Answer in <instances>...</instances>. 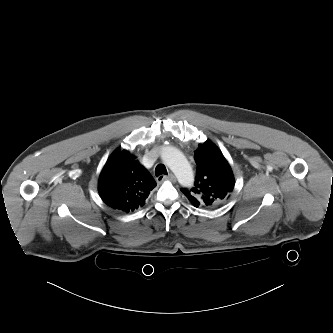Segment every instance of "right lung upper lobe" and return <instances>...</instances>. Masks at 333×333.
<instances>
[{"mask_svg":"<svg viewBox=\"0 0 333 333\" xmlns=\"http://www.w3.org/2000/svg\"><path fill=\"white\" fill-rule=\"evenodd\" d=\"M156 185L135 156L117 149L101 171L98 191L106 205L128 213L142 207Z\"/></svg>","mask_w":333,"mask_h":333,"instance_id":"cb5924a9","label":"right lung upper lobe"}]
</instances>
